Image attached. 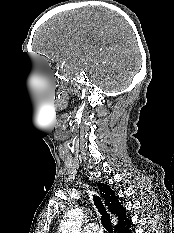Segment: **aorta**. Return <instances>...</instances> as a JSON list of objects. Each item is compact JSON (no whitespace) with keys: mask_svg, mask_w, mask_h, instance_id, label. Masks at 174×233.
Wrapping results in <instances>:
<instances>
[{"mask_svg":"<svg viewBox=\"0 0 174 233\" xmlns=\"http://www.w3.org/2000/svg\"><path fill=\"white\" fill-rule=\"evenodd\" d=\"M83 220V210L75 208L69 210L63 217L59 233H80Z\"/></svg>","mask_w":174,"mask_h":233,"instance_id":"762f6f07","label":"aorta"}]
</instances>
